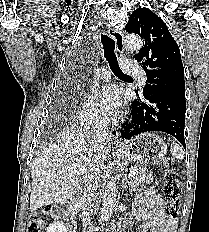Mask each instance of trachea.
I'll use <instances>...</instances> for the list:
<instances>
[{
    "instance_id": "obj_1",
    "label": "trachea",
    "mask_w": 209,
    "mask_h": 232,
    "mask_svg": "<svg viewBox=\"0 0 209 232\" xmlns=\"http://www.w3.org/2000/svg\"><path fill=\"white\" fill-rule=\"evenodd\" d=\"M101 43L103 45L104 49V57L109 63V66L112 70V72L118 77V78H124V79H132L130 76L124 74L120 69L117 61V57L115 54V41L105 35H101Z\"/></svg>"
}]
</instances>
